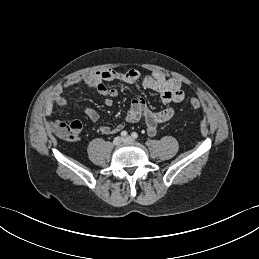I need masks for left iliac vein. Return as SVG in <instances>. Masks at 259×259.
Segmentation results:
<instances>
[{
    "label": "left iliac vein",
    "mask_w": 259,
    "mask_h": 259,
    "mask_svg": "<svg viewBox=\"0 0 259 259\" xmlns=\"http://www.w3.org/2000/svg\"><path fill=\"white\" fill-rule=\"evenodd\" d=\"M123 141H124L125 143H130V142H133L134 140H133L130 136H127V137H125V138L123 139Z\"/></svg>",
    "instance_id": "obj_1"
}]
</instances>
